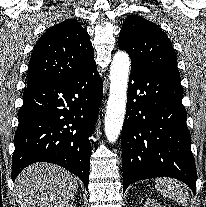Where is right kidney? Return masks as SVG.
I'll return each instance as SVG.
<instances>
[{
  "label": "right kidney",
  "instance_id": "1",
  "mask_svg": "<svg viewBox=\"0 0 206 207\" xmlns=\"http://www.w3.org/2000/svg\"><path fill=\"white\" fill-rule=\"evenodd\" d=\"M65 207H74L73 204H68Z\"/></svg>",
  "mask_w": 206,
  "mask_h": 207
}]
</instances>
